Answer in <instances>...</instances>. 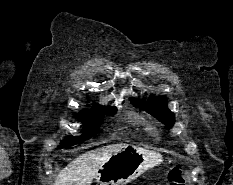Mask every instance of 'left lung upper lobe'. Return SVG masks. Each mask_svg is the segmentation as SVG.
<instances>
[{
	"label": "left lung upper lobe",
	"instance_id": "obj_1",
	"mask_svg": "<svg viewBox=\"0 0 233 185\" xmlns=\"http://www.w3.org/2000/svg\"><path fill=\"white\" fill-rule=\"evenodd\" d=\"M132 104L143 109L164 123L167 127L174 124V114L167 107V100L164 97H150L147 102H139L131 99Z\"/></svg>",
	"mask_w": 233,
	"mask_h": 185
}]
</instances>
